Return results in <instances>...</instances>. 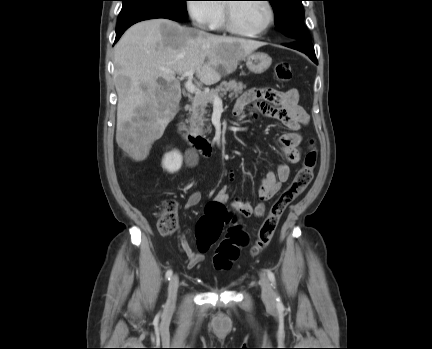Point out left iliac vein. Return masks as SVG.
I'll return each instance as SVG.
<instances>
[{
	"instance_id": "left-iliac-vein-1",
	"label": "left iliac vein",
	"mask_w": 432,
	"mask_h": 349,
	"mask_svg": "<svg viewBox=\"0 0 432 349\" xmlns=\"http://www.w3.org/2000/svg\"><path fill=\"white\" fill-rule=\"evenodd\" d=\"M260 286L263 302L266 306L274 308L276 305L275 293L273 288L271 287L269 279L264 274H261L260 276Z\"/></svg>"
}]
</instances>
